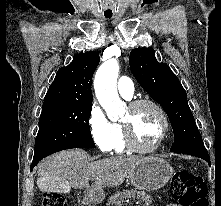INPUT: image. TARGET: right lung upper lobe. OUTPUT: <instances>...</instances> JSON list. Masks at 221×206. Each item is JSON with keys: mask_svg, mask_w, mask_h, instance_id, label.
<instances>
[{"mask_svg": "<svg viewBox=\"0 0 221 206\" xmlns=\"http://www.w3.org/2000/svg\"><path fill=\"white\" fill-rule=\"evenodd\" d=\"M99 64L96 51L80 53L58 70L43 102V109L92 105V76Z\"/></svg>", "mask_w": 221, "mask_h": 206, "instance_id": "right-lung-upper-lobe-1", "label": "right lung upper lobe"}]
</instances>
